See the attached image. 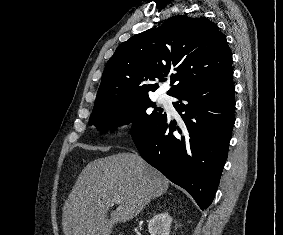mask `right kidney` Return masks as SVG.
<instances>
[{
	"label": "right kidney",
	"mask_w": 283,
	"mask_h": 235,
	"mask_svg": "<svg viewBox=\"0 0 283 235\" xmlns=\"http://www.w3.org/2000/svg\"><path fill=\"white\" fill-rule=\"evenodd\" d=\"M171 223L172 218L167 212L155 215L148 223L150 235H169Z\"/></svg>",
	"instance_id": "1"
}]
</instances>
